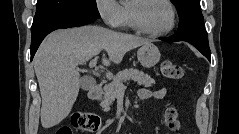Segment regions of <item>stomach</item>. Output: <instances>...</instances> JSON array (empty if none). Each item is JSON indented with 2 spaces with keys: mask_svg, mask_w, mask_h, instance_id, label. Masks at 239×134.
Listing matches in <instances>:
<instances>
[{
  "mask_svg": "<svg viewBox=\"0 0 239 134\" xmlns=\"http://www.w3.org/2000/svg\"><path fill=\"white\" fill-rule=\"evenodd\" d=\"M137 58L143 67L151 68L159 62L161 54L158 47L149 42L138 49Z\"/></svg>",
  "mask_w": 239,
  "mask_h": 134,
  "instance_id": "1",
  "label": "stomach"
}]
</instances>
